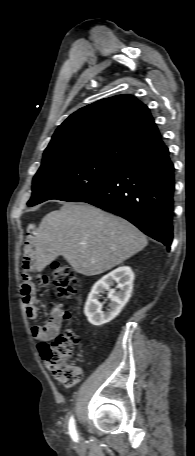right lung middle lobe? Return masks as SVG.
Wrapping results in <instances>:
<instances>
[{"label": "right lung middle lobe", "instance_id": "right-lung-middle-lobe-1", "mask_svg": "<svg viewBox=\"0 0 195 456\" xmlns=\"http://www.w3.org/2000/svg\"><path fill=\"white\" fill-rule=\"evenodd\" d=\"M121 164L98 159H63L42 163L33 179V206L50 199L74 201L109 180Z\"/></svg>", "mask_w": 195, "mask_h": 456}]
</instances>
